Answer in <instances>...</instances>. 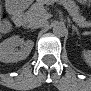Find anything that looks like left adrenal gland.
<instances>
[{"instance_id":"a2214340","label":"left adrenal gland","mask_w":91,"mask_h":91,"mask_svg":"<svg viewBox=\"0 0 91 91\" xmlns=\"http://www.w3.org/2000/svg\"><path fill=\"white\" fill-rule=\"evenodd\" d=\"M73 32H76L77 35H79L78 28L74 25H72Z\"/></svg>"}]
</instances>
